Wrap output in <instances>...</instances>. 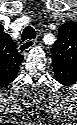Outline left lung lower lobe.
<instances>
[{"label":"left lung lower lobe","mask_w":77,"mask_h":125,"mask_svg":"<svg viewBox=\"0 0 77 125\" xmlns=\"http://www.w3.org/2000/svg\"><path fill=\"white\" fill-rule=\"evenodd\" d=\"M57 80L62 84H70L73 80L74 68L67 65H53Z\"/></svg>","instance_id":"1"}]
</instances>
